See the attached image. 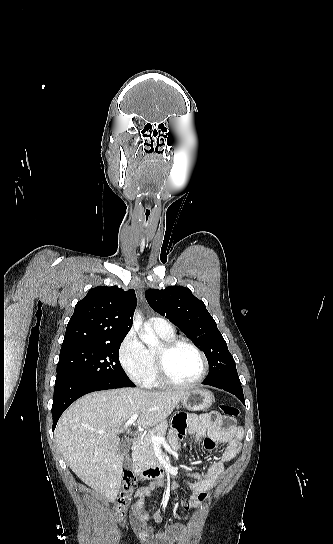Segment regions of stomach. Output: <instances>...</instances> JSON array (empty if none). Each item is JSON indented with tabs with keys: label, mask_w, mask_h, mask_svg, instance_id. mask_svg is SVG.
Instances as JSON below:
<instances>
[{
	"label": "stomach",
	"mask_w": 333,
	"mask_h": 544,
	"mask_svg": "<svg viewBox=\"0 0 333 544\" xmlns=\"http://www.w3.org/2000/svg\"><path fill=\"white\" fill-rule=\"evenodd\" d=\"M213 401V394L201 389H192L181 399L182 405L189 411H204L212 405Z\"/></svg>",
	"instance_id": "1"
}]
</instances>
